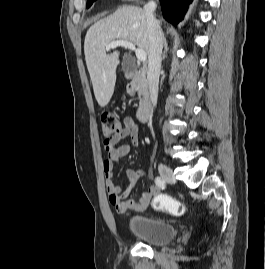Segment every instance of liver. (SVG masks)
<instances>
[{
  "instance_id": "obj_1",
  "label": "liver",
  "mask_w": 265,
  "mask_h": 269,
  "mask_svg": "<svg viewBox=\"0 0 265 269\" xmlns=\"http://www.w3.org/2000/svg\"><path fill=\"white\" fill-rule=\"evenodd\" d=\"M126 40L149 55L150 40L143 9L124 6L110 16L94 23L87 31L84 54L94 95L99 106H106L114 92L118 51L106 54L105 47L112 41Z\"/></svg>"
}]
</instances>
